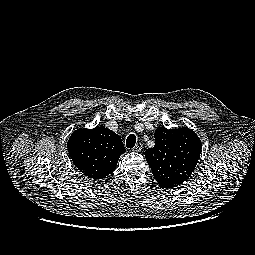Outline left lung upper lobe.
Segmentation results:
<instances>
[{"label": "left lung upper lobe", "mask_w": 255, "mask_h": 255, "mask_svg": "<svg viewBox=\"0 0 255 255\" xmlns=\"http://www.w3.org/2000/svg\"><path fill=\"white\" fill-rule=\"evenodd\" d=\"M154 136L156 144L145 151L146 160L160 187L175 188L187 181L194 171L201 154V141L186 127H159Z\"/></svg>", "instance_id": "left-lung-upper-lobe-1"}]
</instances>
